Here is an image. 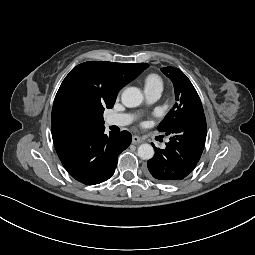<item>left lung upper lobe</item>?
<instances>
[{"instance_id":"obj_1","label":"left lung upper lobe","mask_w":255,"mask_h":255,"mask_svg":"<svg viewBox=\"0 0 255 255\" xmlns=\"http://www.w3.org/2000/svg\"><path fill=\"white\" fill-rule=\"evenodd\" d=\"M162 72L173 82L176 103L157 129L165 134L177 124L203 112L201 100L187 76L178 68H162Z\"/></svg>"}]
</instances>
